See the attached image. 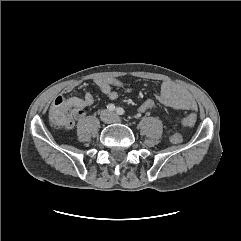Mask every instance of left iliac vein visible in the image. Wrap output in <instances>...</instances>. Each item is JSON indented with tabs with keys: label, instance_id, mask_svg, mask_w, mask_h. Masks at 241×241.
<instances>
[{
	"label": "left iliac vein",
	"instance_id": "1",
	"mask_svg": "<svg viewBox=\"0 0 241 241\" xmlns=\"http://www.w3.org/2000/svg\"><path fill=\"white\" fill-rule=\"evenodd\" d=\"M114 121H115V122H121L122 120H121L120 117L116 116V117L114 118Z\"/></svg>",
	"mask_w": 241,
	"mask_h": 241
}]
</instances>
